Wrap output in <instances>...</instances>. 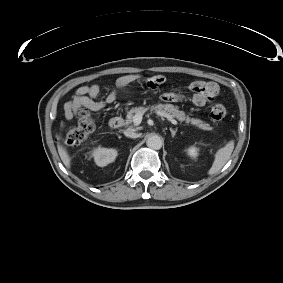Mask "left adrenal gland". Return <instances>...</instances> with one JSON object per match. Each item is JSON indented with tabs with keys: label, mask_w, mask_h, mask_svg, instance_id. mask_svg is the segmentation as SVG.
<instances>
[{
	"label": "left adrenal gland",
	"mask_w": 283,
	"mask_h": 283,
	"mask_svg": "<svg viewBox=\"0 0 283 283\" xmlns=\"http://www.w3.org/2000/svg\"><path fill=\"white\" fill-rule=\"evenodd\" d=\"M170 132H171V134H172V137L174 138L175 135H176V133H177V128H176L175 130L172 129V128H170Z\"/></svg>",
	"instance_id": "1"
}]
</instances>
